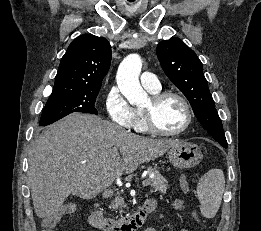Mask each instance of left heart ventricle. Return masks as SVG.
Wrapping results in <instances>:
<instances>
[{
  "label": "left heart ventricle",
  "mask_w": 261,
  "mask_h": 231,
  "mask_svg": "<svg viewBox=\"0 0 261 231\" xmlns=\"http://www.w3.org/2000/svg\"><path fill=\"white\" fill-rule=\"evenodd\" d=\"M150 107V99L143 105V108ZM155 121L158 127L164 131H176L185 122V110L181 102L173 97L165 99L155 109Z\"/></svg>",
  "instance_id": "left-heart-ventricle-1"
}]
</instances>
